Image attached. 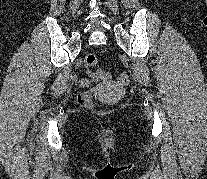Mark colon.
<instances>
[{"label":"colon","instance_id":"1","mask_svg":"<svg viewBox=\"0 0 207 179\" xmlns=\"http://www.w3.org/2000/svg\"><path fill=\"white\" fill-rule=\"evenodd\" d=\"M85 67L87 69H91L97 63V57L94 54H88L84 60ZM98 77L102 81H107L110 78V74L106 70H99ZM118 81L122 85H127L130 82V76L128 73L120 74ZM79 102L83 106L90 105L93 102V96L90 92L85 91L79 94L78 96Z\"/></svg>","mask_w":207,"mask_h":179}]
</instances>
